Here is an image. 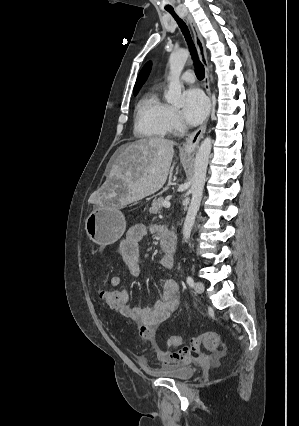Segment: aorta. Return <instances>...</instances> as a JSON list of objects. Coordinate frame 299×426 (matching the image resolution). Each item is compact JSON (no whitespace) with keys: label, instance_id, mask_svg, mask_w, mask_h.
<instances>
[{"label":"aorta","instance_id":"1","mask_svg":"<svg viewBox=\"0 0 299 426\" xmlns=\"http://www.w3.org/2000/svg\"><path fill=\"white\" fill-rule=\"evenodd\" d=\"M188 57L189 51L186 49H180L178 51H175L171 53L169 57V89L165 95V99L168 103H171L172 105L177 107H182L184 105V99L181 94L183 85L180 82V75L183 71L184 65ZM211 148L212 140L210 137H206L201 142V145L195 157L194 175L191 186L192 198L182 231L183 238L185 241L190 238L195 218L200 208Z\"/></svg>","mask_w":299,"mask_h":426}]
</instances>
